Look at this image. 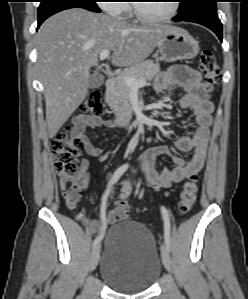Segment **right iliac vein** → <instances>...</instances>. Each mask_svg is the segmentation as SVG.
I'll use <instances>...</instances> for the list:
<instances>
[{"label":"right iliac vein","mask_w":248,"mask_h":299,"mask_svg":"<svg viewBox=\"0 0 248 299\" xmlns=\"http://www.w3.org/2000/svg\"><path fill=\"white\" fill-rule=\"evenodd\" d=\"M100 243H97L91 253V261H90V269L94 270L98 264L99 257H100Z\"/></svg>","instance_id":"right-iliac-vein-1"}]
</instances>
